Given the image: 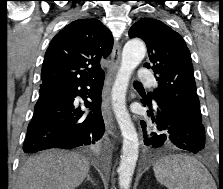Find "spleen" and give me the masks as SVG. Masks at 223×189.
Listing matches in <instances>:
<instances>
[{"label":"spleen","instance_id":"spleen-1","mask_svg":"<svg viewBox=\"0 0 223 189\" xmlns=\"http://www.w3.org/2000/svg\"><path fill=\"white\" fill-rule=\"evenodd\" d=\"M153 170L157 181L168 189H216L209 171L190 156H166L156 162Z\"/></svg>","mask_w":223,"mask_h":189}]
</instances>
